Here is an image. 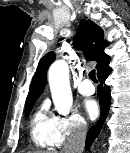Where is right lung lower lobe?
Wrapping results in <instances>:
<instances>
[{"instance_id":"98d812e1","label":"right lung lower lobe","mask_w":130,"mask_h":153,"mask_svg":"<svg viewBox=\"0 0 130 153\" xmlns=\"http://www.w3.org/2000/svg\"><path fill=\"white\" fill-rule=\"evenodd\" d=\"M110 73H111V68L107 66L101 73L97 74L100 82V85L98 86L97 90V95L101 107V115L98 122L94 126H92L87 133L86 143H85L86 150H89L90 145L99 134L105 122V119L108 115L111 96H110V88L105 84V80L107 79Z\"/></svg>"}]
</instances>
